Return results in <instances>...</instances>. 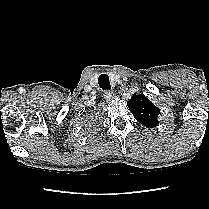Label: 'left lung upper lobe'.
Masks as SVG:
<instances>
[{
	"label": "left lung upper lobe",
	"mask_w": 209,
	"mask_h": 209,
	"mask_svg": "<svg viewBox=\"0 0 209 209\" xmlns=\"http://www.w3.org/2000/svg\"><path fill=\"white\" fill-rule=\"evenodd\" d=\"M134 118L143 126L148 128L156 127L160 110L147 97L142 94L133 95L127 103Z\"/></svg>",
	"instance_id": "1"
}]
</instances>
